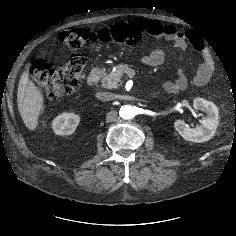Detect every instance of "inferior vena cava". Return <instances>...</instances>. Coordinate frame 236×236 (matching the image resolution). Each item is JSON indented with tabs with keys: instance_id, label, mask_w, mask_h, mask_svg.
Instances as JSON below:
<instances>
[{
	"instance_id": "inferior-vena-cava-1",
	"label": "inferior vena cava",
	"mask_w": 236,
	"mask_h": 236,
	"mask_svg": "<svg viewBox=\"0 0 236 236\" xmlns=\"http://www.w3.org/2000/svg\"><path fill=\"white\" fill-rule=\"evenodd\" d=\"M96 97L103 102H107L113 99V94L110 92H98Z\"/></svg>"
}]
</instances>
